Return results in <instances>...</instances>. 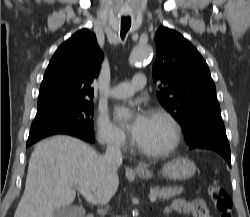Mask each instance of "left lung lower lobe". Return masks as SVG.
Listing matches in <instances>:
<instances>
[{
  "mask_svg": "<svg viewBox=\"0 0 250 217\" xmlns=\"http://www.w3.org/2000/svg\"><path fill=\"white\" fill-rule=\"evenodd\" d=\"M186 138L190 149H210L219 153L231 167L230 147L221 118H213L198 126Z\"/></svg>",
  "mask_w": 250,
  "mask_h": 217,
  "instance_id": "0a47b994",
  "label": "left lung lower lobe"
}]
</instances>
